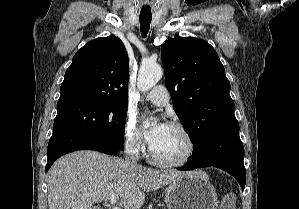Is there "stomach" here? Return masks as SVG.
<instances>
[{
  "label": "stomach",
  "instance_id": "obj_1",
  "mask_svg": "<svg viewBox=\"0 0 299 209\" xmlns=\"http://www.w3.org/2000/svg\"><path fill=\"white\" fill-rule=\"evenodd\" d=\"M165 204L168 209H215L218 201L207 173L197 170L170 183Z\"/></svg>",
  "mask_w": 299,
  "mask_h": 209
}]
</instances>
